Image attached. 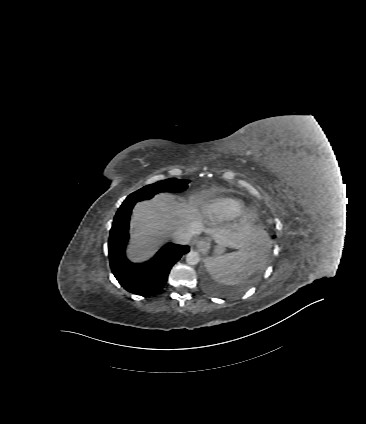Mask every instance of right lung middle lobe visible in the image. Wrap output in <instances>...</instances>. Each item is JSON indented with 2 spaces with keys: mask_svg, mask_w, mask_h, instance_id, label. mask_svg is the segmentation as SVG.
I'll use <instances>...</instances> for the list:
<instances>
[{
  "mask_svg": "<svg viewBox=\"0 0 366 424\" xmlns=\"http://www.w3.org/2000/svg\"><path fill=\"white\" fill-rule=\"evenodd\" d=\"M188 183V180H179L176 178L162 180L133 192L124 200L122 205L135 204L138 201L150 199L159 192H181L187 188Z\"/></svg>",
  "mask_w": 366,
  "mask_h": 424,
  "instance_id": "1",
  "label": "right lung middle lobe"
}]
</instances>
